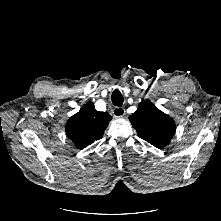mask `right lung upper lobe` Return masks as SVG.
Wrapping results in <instances>:
<instances>
[{"label": "right lung upper lobe", "mask_w": 221, "mask_h": 221, "mask_svg": "<svg viewBox=\"0 0 221 221\" xmlns=\"http://www.w3.org/2000/svg\"><path fill=\"white\" fill-rule=\"evenodd\" d=\"M111 119L108 113L97 111L94 104L88 102L78 113L69 118L66 135L76 147L82 149L103 137Z\"/></svg>", "instance_id": "right-lung-upper-lobe-1"}]
</instances>
